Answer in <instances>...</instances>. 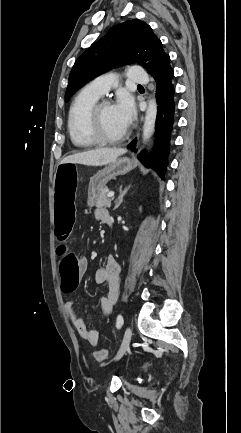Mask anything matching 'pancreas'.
<instances>
[{"mask_svg": "<svg viewBox=\"0 0 241 433\" xmlns=\"http://www.w3.org/2000/svg\"><path fill=\"white\" fill-rule=\"evenodd\" d=\"M107 189H103L97 196L94 205L98 208L105 207L109 208L111 206V201L113 198L107 196Z\"/></svg>", "mask_w": 241, "mask_h": 433, "instance_id": "1", "label": "pancreas"}]
</instances>
